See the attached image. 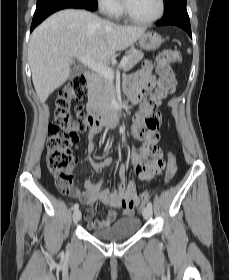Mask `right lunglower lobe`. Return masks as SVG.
<instances>
[{
	"label": "right lung lower lobe",
	"instance_id": "98d812e1",
	"mask_svg": "<svg viewBox=\"0 0 229 280\" xmlns=\"http://www.w3.org/2000/svg\"><path fill=\"white\" fill-rule=\"evenodd\" d=\"M66 8L94 11L97 8V3L96 0H37L30 32L49 15Z\"/></svg>",
	"mask_w": 229,
	"mask_h": 280
}]
</instances>
